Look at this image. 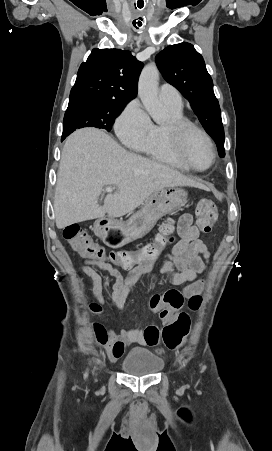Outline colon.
Returning <instances> with one entry per match:
<instances>
[{
  "instance_id": "1",
  "label": "colon",
  "mask_w": 272,
  "mask_h": 451,
  "mask_svg": "<svg viewBox=\"0 0 272 451\" xmlns=\"http://www.w3.org/2000/svg\"><path fill=\"white\" fill-rule=\"evenodd\" d=\"M200 207L204 215L197 223L198 229L203 233H211L214 222L218 217L215 202L209 197L201 199ZM169 235V234H168ZM155 237L159 241H150L149 244L135 252L116 251L111 252L110 249L97 247L88 241V237L83 228L77 223L68 224L63 231V239L71 244L73 249L78 250L79 256H92L94 253L98 258H111V260L120 266L135 267L141 263L157 262L163 252L167 251L165 246L164 232L157 230ZM85 265L91 266V259L83 262ZM203 301L199 298H188L187 305L190 307L191 313H200ZM189 330V316L180 313L177 318L168 321L162 327L150 326L148 328V348H159L164 345L169 351L178 349L183 337ZM92 341L100 345H106L108 341L107 328L101 322H93L91 325Z\"/></svg>"
}]
</instances>
